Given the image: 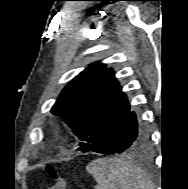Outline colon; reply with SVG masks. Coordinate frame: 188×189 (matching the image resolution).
Masks as SVG:
<instances>
[{"mask_svg":"<svg viewBox=\"0 0 188 189\" xmlns=\"http://www.w3.org/2000/svg\"><path fill=\"white\" fill-rule=\"evenodd\" d=\"M45 170L48 176L54 181V184L49 189H67V180L56 166L47 164Z\"/></svg>","mask_w":188,"mask_h":189,"instance_id":"5ec220e1","label":"colon"}]
</instances>
